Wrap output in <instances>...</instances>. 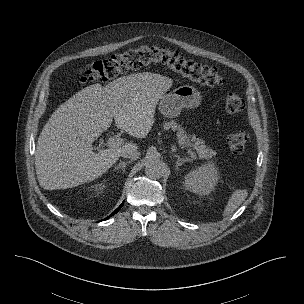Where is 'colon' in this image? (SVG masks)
I'll use <instances>...</instances> for the list:
<instances>
[{
	"mask_svg": "<svg viewBox=\"0 0 304 304\" xmlns=\"http://www.w3.org/2000/svg\"><path fill=\"white\" fill-rule=\"evenodd\" d=\"M150 64H162L199 85L214 87L225 83L223 76L216 68L187 60L177 52L156 45H142L83 67L79 70V81L83 84L107 81L121 73ZM244 107L245 101L238 94L229 93L226 96L225 109L228 113H238ZM226 140L231 151L240 154L245 150L248 136L244 130H235L227 135Z\"/></svg>",
	"mask_w": 304,
	"mask_h": 304,
	"instance_id": "colon-1",
	"label": "colon"
}]
</instances>
